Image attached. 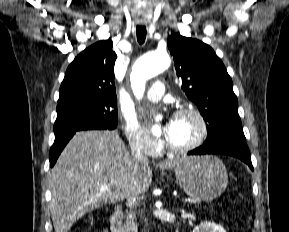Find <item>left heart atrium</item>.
Returning <instances> with one entry per match:
<instances>
[{
  "label": "left heart atrium",
  "mask_w": 289,
  "mask_h": 232,
  "mask_svg": "<svg viewBox=\"0 0 289 232\" xmlns=\"http://www.w3.org/2000/svg\"><path fill=\"white\" fill-rule=\"evenodd\" d=\"M173 129V118H168L164 121L162 125V131L164 138L169 141Z\"/></svg>",
  "instance_id": "left-heart-atrium-1"
}]
</instances>
